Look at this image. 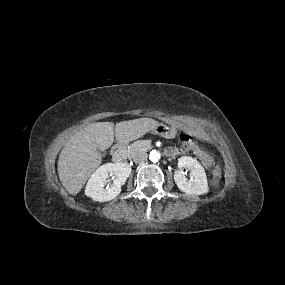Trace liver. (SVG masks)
Here are the masks:
<instances>
[{
  "mask_svg": "<svg viewBox=\"0 0 285 285\" xmlns=\"http://www.w3.org/2000/svg\"><path fill=\"white\" fill-rule=\"evenodd\" d=\"M158 122L139 118L118 122H95L75 133L63 147L58 160L59 179L71 195L78 194L91 173L101 164V151L114 140L127 144L153 130Z\"/></svg>",
  "mask_w": 285,
  "mask_h": 285,
  "instance_id": "liver-1",
  "label": "liver"
}]
</instances>
